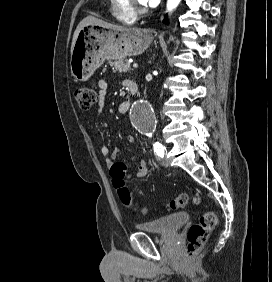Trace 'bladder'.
<instances>
[{
	"label": "bladder",
	"instance_id": "obj_1",
	"mask_svg": "<svg viewBox=\"0 0 272 282\" xmlns=\"http://www.w3.org/2000/svg\"><path fill=\"white\" fill-rule=\"evenodd\" d=\"M190 218L189 213L179 212L166 217L136 224V229L146 233L171 234L176 232Z\"/></svg>",
	"mask_w": 272,
	"mask_h": 282
}]
</instances>
